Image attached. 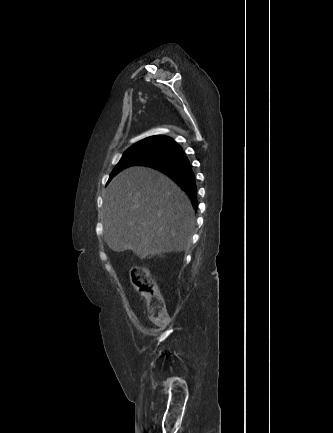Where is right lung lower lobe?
<instances>
[{
    "mask_svg": "<svg viewBox=\"0 0 333 433\" xmlns=\"http://www.w3.org/2000/svg\"><path fill=\"white\" fill-rule=\"evenodd\" d=\"M163 145L171 148V152L154 161L142 164L160 170L170 177L183 191H185L196 209L197 202V187L195 174L192 166L184 154L182 147L178 145L172 138L164 140Z\"/></svg>",
    "mask_w": 333,
    "mask_h": 433,
    "instance_id": "obj_1",
    "label": "right lung lower lobe"
}]
</instances>
